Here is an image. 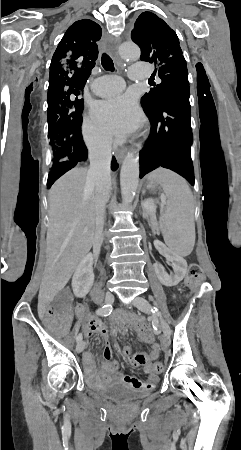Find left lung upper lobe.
Segmentation results:
<instances>
[{
  "label": "left lung upper lobe",
  "mask_w": 241,
  "mask_h": 450,
  "mask_svg": "<svg viewBox=\"0 0 241 450\" xmlns=\"http://www.w3.org/2000/svg\"><path fill=\"white\" fill-rule=\"evenodd\" d=\"M130 37L141 48L142 61L155 63L162 82L141 98L143 109L159 107L181 93L189 94L187 65L175 32L158 16L142 13Z\"/></svg>",
  "instance_id": "left-lung-upper-lobe-1"
}]
</instances>
